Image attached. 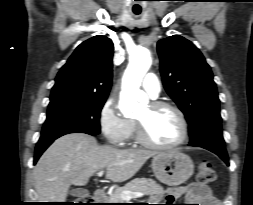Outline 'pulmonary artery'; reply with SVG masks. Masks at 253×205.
Here are the masks:
<instances>
[{
    "label": "pulmonary artery",
    "mask_w": 253,
    "mask_h": 205,
    "mask_svg": "<svg viewBox=\"0 0 253 205\" xmlns=\"http://www.w3.org/2000/svg\"><path fill=\"white\" fill-rule=\"evenodd\" d=\"M142 88L151 98H156L161 91V84L155 74L148 73L143 79Z\"/></svg>",
    "instance_id": "obj_1"
}]
</instances>
